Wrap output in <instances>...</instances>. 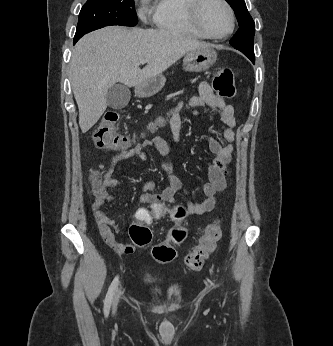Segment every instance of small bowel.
<instances>
[{"label": "small bowel", "mask_w": 333, "mask_h": 346, "mask_svg": "<svg viewBox=\"0 0 333 346\" xmlns=\"http://www.w3.org/2000/svg\"><path fill=\"white\" fill-rule=\"evenodd\" d=\"M185 106L191 108L207 106L217 112L225 125L221 131V137L227 142V144H223L217 137H211L209 139V148L214 158L208 166V182L203 186V192L206 198L199 202L187 201L183 206L185 216H192L212 211L217 203V194L226 187L227 164L230 161L233 152V142L235 140V118L233 107L227 105L221 97L213 92L210 85L203 81L199 85L197 95L189 97L186 101H180L174 109L170 118V127L175 143L180 142L182 126L180 112ZM193 114L198 115V111L195 110ZM145 147H152L164 156L170 153V143L160 137H154L145 139L141 143L115 154L111 159L109 169L104 175V181L107 187L116 185L113 172L115 169H120L121 163L124 160L133 157L142 161L148 160V156L144 151ZM164 167L168 172V186L160 193L155 194L153 193L155 184L153 182H144L141 185L143 194L140 198L143 204H173L175 202V195L181 190L182 185L178 178L170 174V164L166 163ZM110 200L111 196L106 190L103 195H96L92 203V210L100 235L105 243L112 247V254H135L137 245L133 239L115 238L118 229L114 221L103 210L104 205Z\"/></svg>", "instance_id": "c3829d8e"}]
</instances>
